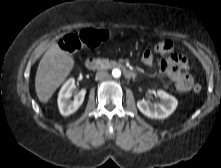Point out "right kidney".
<instances>
[{"label": "right kidney", "instance_id": "1", "mask_svg": "<svg viewBox=\"0 0 221 168\" xmlns=\"http://www.w3.org/2000/svg\"><path fill=\"white\" fill-rule=\"evenodd\" d=\"M75 86V80L70 78L60 89L58 96V107L62 116H69L76 112L82 105L86 90L81 89L76 95L74 100H70Z\"/></svg>", "mask_w": 221, "mask_h": 168}]
</instances>
